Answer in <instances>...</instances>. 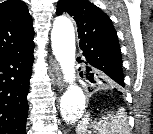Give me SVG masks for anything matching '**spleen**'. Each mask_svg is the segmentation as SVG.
Segmentation results:
<instances>
[{
    "instance_id": "obj_1",
    "label": "spleen",
    "mask_w": 153,
    "mask_h": 134,
    "mask_svg": "<svg viewBox=\"0 0 153 134\" xmlns=\"http://www.w3.org/2000/svg\"><path fill=\"white\" fill-rule=\"evenodd\" d=\"M89 114L80 121L76 128L77 134H86L88 128L95 129L98 134H130L127 112L124 108H119L116 112H109L102 116L97 122L89 124Z\"/></svg>"
}]
</instances>
